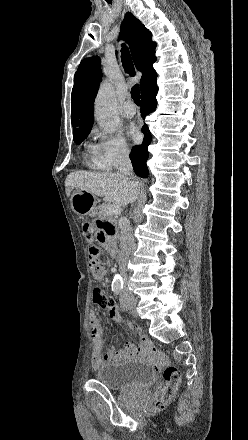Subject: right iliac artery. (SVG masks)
<instances>
[{"mask_svg":"<svg viewBox=\"0 0 248 440\" xmlns=\"http://www.w3.org/2000/svg\"><path fill=\"white\" fill-rule=\"evenodd\" d=\"M112 290H113V292L115 294H119V292L121 291V288L120 287H114V288H112Z\"/></svg>","mask_w":248,"mask_h":440,"instance_id":"82829eb1","label":"right iliac artery"}]
</instances>
